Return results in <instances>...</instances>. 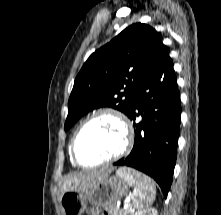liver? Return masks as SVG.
<instances>
[{
    "instance_id": "6515ba94",
    "label": "liver",
    "mask_w": 221,
    "mask_h": 215,
    "mask_svg": "<svg viewBox=\"0 0 221 215\" xmlns=\"http://www.w3.org/2000/svg\"><path fill=\"white\" fill-rule=\"evenodd\" d=\"M112 169L103 168L91 170L67 176L61 185V196L70 190H86L94 186L98 181L108 177ZM60 200V199H59Z\"/></svg>"
}]
</instances>
